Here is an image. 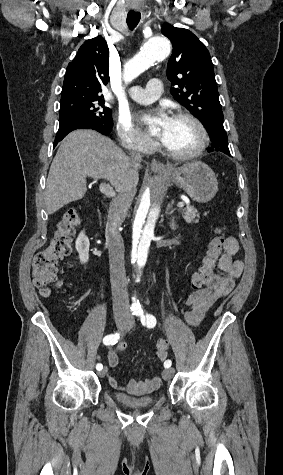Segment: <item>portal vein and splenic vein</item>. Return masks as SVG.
<instances>
[{"label": "portal vein and splenic vein", "mask_w": 283, "mask_h": 475, "mask_svg": "<svg viewBox=\"0 0 283 475\" xmlns=\"http://www.w3.org/2000/svg\"><path fill=\"white\" fill-rule=\"evenodd\" d=\"M100 192H102V194H105V196H109V198H112V196H115V192L113 188H111V186H108V184H101ZM185 204H187V202H179L177 206L178 208H184Z\"/></svg>", "instance_id": "18ae733b"}]
</instances>
